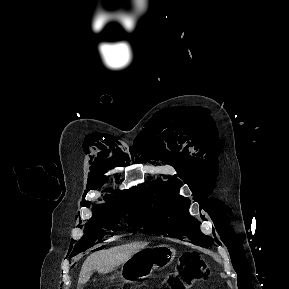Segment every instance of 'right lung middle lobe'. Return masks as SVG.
Listing matches in <instances>:
<instances>
[{"instance_id":"dd1d6c3e","label":"right lung middle lobe","mask_w":289,"mask_h":289,"mask_svg":"<svg viewBox=\"0 0 289 289\" xmlns=\"http://www.w3.org/2000/svg\"><path fill=\"white\" fill-rule=\"evenodd\" d=\"M120 219H125L127 224L138 230L141 218L135 203H120L117 205L96 206L94 216L86 225L85 232L80 241L75 244L70 257L101 242L107 230H117Z\"/></svg>"}]
</instances>
